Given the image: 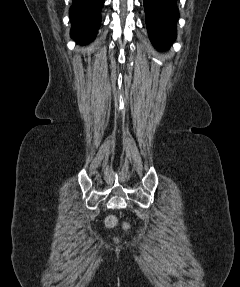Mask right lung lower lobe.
Listing matches in <instances>:
<instances>
[{
    "instance_id": "obj_1",
    "label": "right lung lower lobe",
    "mask_w": 240,
    "mask_h": 287,
    "mask_svg": "<svg viewBox=\"0 0 240 287\" xmlns=\"http://www.w3.org/2000/svg\"><path fill=\"white\" fill-rule=\"evenodd\" d=\"M104 0H73L69 14L71 20L70 35L80 44L92 41L101 21V9Z\"/></svg>"
}]
</instances>
